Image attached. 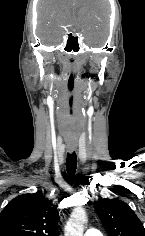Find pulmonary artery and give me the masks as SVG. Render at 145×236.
Returning a JSON list of instances; mask_svg holds the SVG:
<instances>
[{
	"label": "pulmonary artery",
	"mask_w": 145,
	"mask_h": 236,
	"mask_svg": "<svg viewBox=\"0 0 145 236\" xmlns=\"http://www.w3.org/2000/svg\"><path fill=\"white\" fill-rule=\"evenodd\" d=\"M84 236H102V233L98 229L88 228Z\"/></svg>",
	"instance_id": "obj_1"
}]
</instances>
